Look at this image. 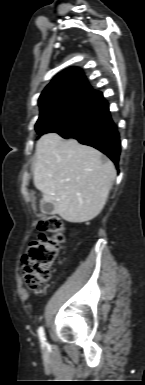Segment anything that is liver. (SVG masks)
I'll use <instances>...</instances> for the list:
<instances>
[{"label": "liver", "mask_w": 145, "mask_h": 385, "mask_svg": "<svg viewBox=\"0 0 145 385\" xmlns=\"http://www.w3.org/2000/svg\"><path fill=\"white\" fill-rule=\"evenodd\" d=\"M33 174L34 186L43 194L41 203H52L68 222L82 223L104 208L116 170L95 148L52 132L36 144Z\"/></svg>", "instance_id": "6515ba94"}]
</instances>
